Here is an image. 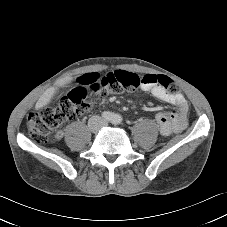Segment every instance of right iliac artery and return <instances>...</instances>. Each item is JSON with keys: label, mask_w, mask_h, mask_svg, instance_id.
Returning a JSON list of instances; mask_svg holds the SVG:
<instances>
[{"label": "right iliac artery", "mask_w": 227, "mask_h": 227, "mask_svg": "<svg viewBox=\"0 0 227 227\" xmlns=\"http://www.w3.org/2000/svg\"><path fill=\"white\" fill-rule=\"evenodd\" d=\"M113 116H114V114L111 113V112H109V111H104V112L102 113V117H103L105 120H108V121L112 120V119H113Z\"/></svg>", "instance_id": "82829eb1"}]
</instances>
